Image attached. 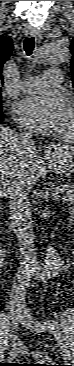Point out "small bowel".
I'll list each match as a JSON object with an SVG mask.
<instances>
[{"instance_id": "obj_1", "label": "small bowel", "mask_w": 74, "mask_h": 366, "mask_svg": "<svg viewBox=\"0 0 74 366\" xmlns=\"http://www.w3.org/2000/svg\"><path fill=\"white\" fill-rule=\"evenodd\" d=\"M54 273H55V271H54V270H52V271H51V273H50V275H53Z\"/></svg>"}]
</instances>
